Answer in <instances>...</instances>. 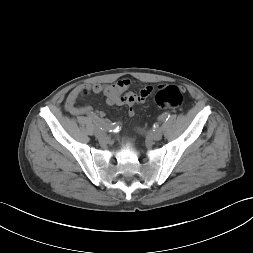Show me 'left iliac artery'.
<instances>
[{
	"label": "left iliac artery",
	"instance_id": "left-iliac-artery-1",
	"mask_svg": "<svg viewBox=\"0 0 253 253\" xmlns=\"http://www.w3.org/2000/svg\"><path fill=\"white\" fill-rule=\"evenodd\" d=\"M169 117H170L169 113L165 112V113L162 115L161 119H162V120H168Z\"/></svg>",
	"mask_w": 253,
	"mask_h": 253
}]
</instances>
